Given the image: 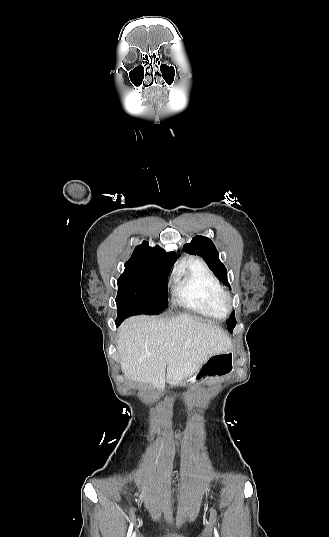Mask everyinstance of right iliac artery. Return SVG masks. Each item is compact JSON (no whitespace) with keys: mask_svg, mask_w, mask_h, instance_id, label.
<instances>
[{"mask_svg":"<svg viewBox=\"0 0 329 537\" xmlns=\"http://www.w3.org/2000/svg\"><path fill=\"white\" fill-rule=\"evenodd\" d=\"M132 530H133V523H131V525H130V527L128 529L127 537H131Z\"/></svg>","mask_w":329,"mask_h":537,"instance_id":"82829eb1","label":"right iliac artery"}]
</instances>
